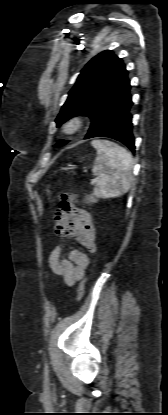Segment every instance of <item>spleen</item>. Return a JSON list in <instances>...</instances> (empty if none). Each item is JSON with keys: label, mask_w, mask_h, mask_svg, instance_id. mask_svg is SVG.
Listing matches in <instances>:
<instances>
[{"label": "spleen", "mask_w": 168, "mask_h": 415, "mask_svg": "<svg viewBox=\"0 0 168 415\" xmlns=\"http://www.w3.org/2000/svg\"><path fill=\"white\" fill-rule=\"evenodd\" d=\"M97 151L92 172L97 176L94 195L116 198L128 192L131 186L133 158L125 148L107 140H93Z\"/></svg>", "instance_id": "spleen-1"}]
</instances>
